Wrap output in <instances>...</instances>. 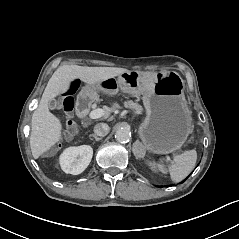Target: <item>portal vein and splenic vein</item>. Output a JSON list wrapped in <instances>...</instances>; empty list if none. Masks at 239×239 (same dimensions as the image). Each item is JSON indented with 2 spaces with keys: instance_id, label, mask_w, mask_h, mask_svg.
<instances>
[{
  "instance_id": "obj_1",
  "label": "portal vein and splenic vein",
  "mask_w": 239,
  "mask_h": 239,
  "mask_svg": "<svg viewBox=\"0 0 239 239\" xmlns=\"http://www.w3.org/2000/svg\"><path fill=\"white\" fill-rule=\"evenodd\" d=\"M104 114H105V111L101 108H98V109H95V110L91 111L90 114H89V117L91 119H97V118H101L102 116H104ZM166 159H167V161H170V162L172 161L170 159L169 155H166Z\"/></svg>"
}]
</instances>
